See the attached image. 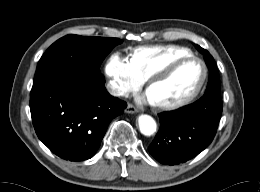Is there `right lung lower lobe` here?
I'll use <instances>...</instances> for the list:
<instances>
[{"mask_svg":"<svg viewBox=\"0 0 260 192\" xmlns=\"http://www.w3.org/2000/svg\"><path fill=\"white\" fill-rule=\"evenodd\" d=\"M104 84L100 72L72 67L55 69L34 82L33 125L53 153L70 161L94 156L111 120L127 107Z\"/></svg>","mask_w":260,"mask_h":192,"instance_id":"98d812e1","label":"right lung lower lobe"}]
</instances>
